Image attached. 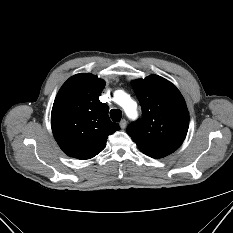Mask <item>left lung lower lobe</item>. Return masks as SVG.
I'll list each match as a JSON object with an SVG mask.
<instances>
[{
    "instance_id": "0a47b994",
    "label": "left lung lower lobe",
    "mask_w": 233,
    "mask_h": 233,
    "mask_svg": "<svg viewBox=\"0 0 233 233\" xmlns=\"http://www.w3.org/2000/svg\"><path fill=\"white\" fill-rule=\"evenodd\" d=\"M150 157H152V158H161L163 156H150Z\"/></svg>"
}]
</instances>
